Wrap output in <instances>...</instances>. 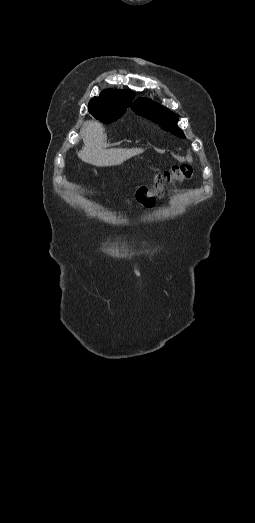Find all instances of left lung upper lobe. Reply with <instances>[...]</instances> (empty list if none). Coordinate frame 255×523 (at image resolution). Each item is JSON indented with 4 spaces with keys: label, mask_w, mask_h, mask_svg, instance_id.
<instances>
[{
    "label": "left lung upper lobe",
    "mask_w": 255,
    "mask_h": 523,
    "mask_svg": "<svg viewBox=\"0 0 255 523\" xmlns=\"http://www.w3.org/2000/svg\"><path fill=\"white\" fill-rule=\"evenodd\" d=\"M132 109H134L137 114L143 115L144 117L158 123L172 134L181 138L185 137L183 132L176 125L178 116L160 104L153 102L150 99L139 98L133 103Z\"/></svg>",
    "instance_id": "5c2ea615"
}]
</instances>
